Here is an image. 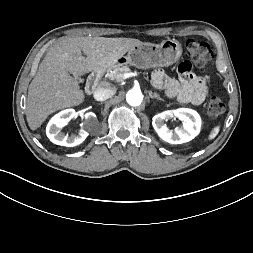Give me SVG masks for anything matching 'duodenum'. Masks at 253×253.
<instances>
[{
    "label": "duodenum",
    "instance_id": "410a0bca",
    "mask_svg": "<svg viewBox=\"0 0 253 253\" xmlns=\"http://www.w3.org/2000/svg\"><path fill=\"white\" fill-rule=\"evenodd\" d=\"M101 76H102V71L100 70H96L90 75L85 86L86 94H91L96 89Z\"/></svg>",
    "mask_w": 253,
    "mask_h": 253
}]
</instances>
